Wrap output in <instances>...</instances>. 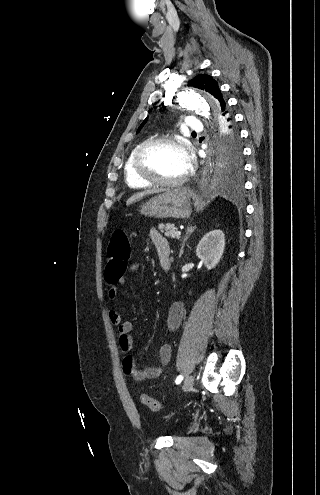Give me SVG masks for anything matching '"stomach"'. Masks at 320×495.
Instances as JSON below:
<instances>
[{
	"mask_svg": "<svg viewBox=\"0 0 320 495\" xmlns=\"http://www.w3.org/2000/svg\"><path fill=\"white\" fill-rule=\"evenodd\" d=\"M140 213L162 219L187 218L192 213L191 197L184 188L165 191L143 204Z\"/></svg>",
	"mask_w": 320,
	"mask_h": 495,
	"instance_id": "obj_1",
	"label": "stomach"
}]
</instances>
